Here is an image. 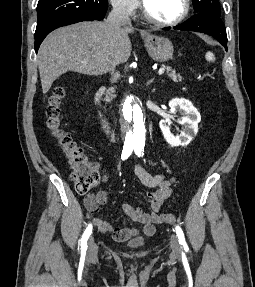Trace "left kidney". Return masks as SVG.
<instances>
[{
    "label": "left kidney",
    "instance_id": "obj_1",
    "mask_svg": "<svg viewBox=\"0 0 255 287\" xmlns=\"http://www.w3.org/2000/svg\"><path fill=\"white\" fill-rule=\"evenodd\" d=\"M169 108H171L173 114L179 112L180 116H183V118L176 120L178 124H181L182 130L181 134L174 136V134L170 132L172 122H170V120H160L159 126L166 142H168L171 147L189 144L198 132V124L201 120L198 110L194 108L189 100H185V98H173V100L169 102Z\"/></svg>",
    "mask_w": 255,
    "mask_h": 287
}]
</instances>
